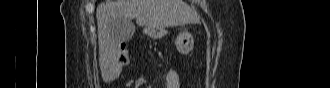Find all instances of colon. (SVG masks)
Wrapping results in <instances>:
<instances>
[{"label":"colon","instance_id":"obj_1","mask_svg":"<svg viewBox=\"0 0 330 88\" xmlns=\"http://www.w3.org/2000/svg\"><path fill=\"white\" fill-rule=\"evenodd\" d=\"M122 48L119 49L116 53V61H115V71H119L125 64L127 59V55L121 52Z\"/></svg>","mask_w":330,"mask_h":88}]
</instances>
